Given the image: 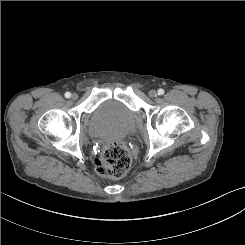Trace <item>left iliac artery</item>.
<instances>
[{
  "label": "left iliac artery",
  "instance_id": "44dca946",
  "mask_svg": "<svg viewBox=\"0 0 245 245\" xmlns=\"http://www.w3.org/2000/svg\"><path fill=\"white\" fill-rule=\"evenodd\" d=\"M164 94V90L163 89H159L158 90V95H163Z\"/></svg>",
  "mask_w": 245,
  "mask_h": 245
}]
</instances>
